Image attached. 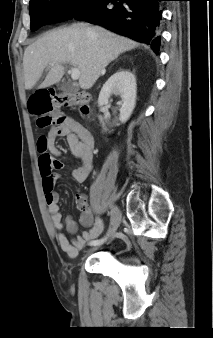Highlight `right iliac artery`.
Segmentation results:
<instances>
[{
	"mask_svg": "<svg viewBox=\"0 0 213 338\" xmlns=\"http://www.w3.org/2000/svg\"><path fill=\"white\" fill-rule=\"evenodd\" d=\"M104 241H105V238L97 239V240H92V241L90 242V245H91V246L101 245Z\"/></svg>",
	"mask_w": 213,
	"mask_h": 338,
	"instance_id": "82829eb1",
	"label": "right iliac artery"
}]
</instances>
